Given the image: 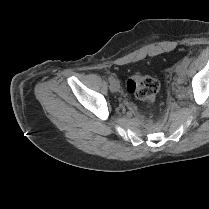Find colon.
I'll list each match as a JSON object with an SVG mask.
<instances>
[{
	"mask_svg": "<svg viewBox=\"0 0 209 209\" xmlns=\"http://www.w3.org/2000/svg\"><path fill=\"white\" fill-rule=\"evenodd\" d=\"M160 88L156 78L139 73L132 75L127 81V89L137 99L152 103L155 101Z\"/></svg>",
	"mask_w": 209,
	"mask_h": 209,
	"instance_id": "5ec220e1",
	"label": "colon"
}]
</instances>
